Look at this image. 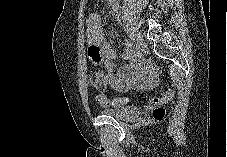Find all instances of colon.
<instances>
[{
	"label": "colon",
	"instance_id": "5ec220e1",
	"mask_svg": "<svg viewBox=\"0 0 227 157\" xmlns=\"http://www.w3.org/2000/svg\"><path fill=\"white\" fill-rule=\"evenodd\" d=\"M99 64L100 62H93ZM97 80V72H93L90 75V82L94 84ZM173 97V90L169 89L165 91L160 97H153L149 100V103L153 106V117L156 120H161L164 118L166 110L163 105L169 102ZM96 101L101 106H122L128 102L127 97L119 96L114 99H110L107 94L99 93L96 97Z\"/></svg>",
	"mask_w": 227,
	"mask_h": 157
}]
</instances>
